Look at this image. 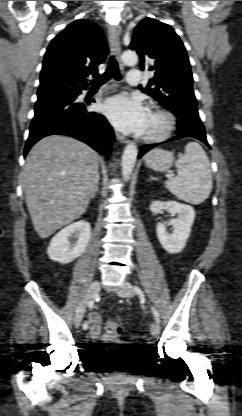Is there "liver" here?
Listing matches in <instances>:
<instances>
[{
	"label": "liver",
	"mask_w": 242,
	"mask_h": 416,
	"mask_svg": "<svg viewBox=\"0 0 242 416\" xmlns=\"http://www.w3.org/2000/svg\"><path fill=\"white\" fill-rule=\"evenodd\" d=\"M99 155L85 143L51 135L26 158L23 185L35 231L47 238L86 211L98 182Z\"/></svg>",
	"instance_id": "6515ba94"
}]
</instances>
